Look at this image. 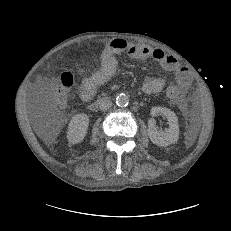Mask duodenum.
Listing matches in <instances>:
<instances>
[{"mask_svg": "<svg viewBox=\"0 0 231 231\" xmlns=\"http://www.w3.org/2000/svg\"><path fill=\"white\" fill-rule=\"evenodd\" d=\"M97 106V103L96 104H94V107H96Z\"/></svg>", "mask_w": 231, "mask_h": 231, "instance_id": "obj_1", "label": "duodenum"}]
</instances>
